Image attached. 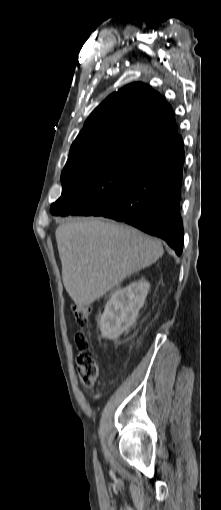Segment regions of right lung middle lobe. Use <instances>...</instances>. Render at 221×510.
I'll return each instance as SVG.
<instances>
[{
    "instance_id": "obj_1",
    "label": "right lung middle lobe",
    "mask_w": 221,
    "mask_h": 510,
    "mask_svg": "<svg viewBox=\"0 0 221 510\" xmlns=\"http://www.w3.org/2000/svg\"><path fill=\"white\" fill-rule=\"evenodd\" d=\"M149 150L128 146L68 160L61 174L62 194L52 215H69L78 207L102 208L116 200L134 178Z\"/></svg>"
}]
</instances>
